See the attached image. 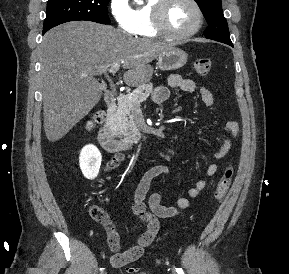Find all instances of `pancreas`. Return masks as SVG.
Returning a JSON list of instances; mask_svg holds the SVG:
<instances>
[{"label": "pancreas", "mask_w": 289, "mask_h": 274, "mask_svg": "<svg viewBox=\"0 0 289 274\" xmlns=\"http://www.w3.org/2000/svg\"><path fill=\"white\" fill-rule=\"evenodd\" d=\"M153 93V86L142 85L127 95L118 98L117 109L112 113L109 124L114 135L125 143H137L141 133L137 128L135 112L140 104Z\"/></svg>", "instance_id": "obj_1"}]
</instances>
